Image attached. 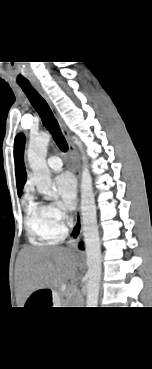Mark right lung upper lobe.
<instances>
[{"instance_id": "1", "label": "right lung upper lobe", "mask_w": 152, "mask_h": 369, "mask_svg": "<svg viewBox=\"0 0 152 369\" xmlns=\"http://www.w3.org/2000/svg\"><path fill=\"white\" fill-rule=\"evenodd\" d=\"M25 137L23 134H18L15 138L14 144V159L16 171V183L18 195H21L24 183L26 181V172L23 163Z\"/></svg>"}]
</instances>
